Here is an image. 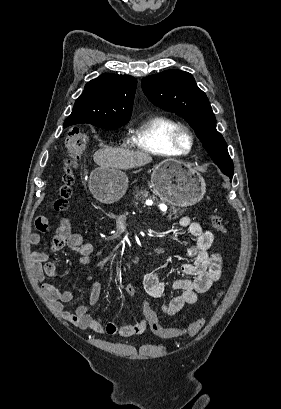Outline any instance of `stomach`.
<instances>
[{
  "instance_id": "stomach-1",
  "label": "stomach",
  "mask_w": 281,
  "mask_h": 409,
  "mask_svg": "<svg viewBox=\"0 0 281 409\" xmlns=\"http://www.w3.org/2000/svg\"><path fill=\"white\" fill-rule=\"evenodd\" d=\"M152 188L161 200L175 207H192L203 198L206 184L198 170L183 160H161L151 174ZM128 178L113 166H98L89 176V188L100 202L110 205L125 194Z\"/></svg>"
}]
</instances>
